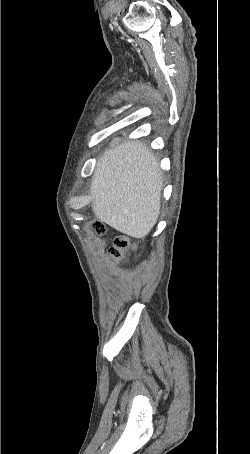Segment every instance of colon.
<instances>
[{"label": "colon", "instance_id": "obj_1", "mask_svg": "<svg viewBox=\"0 0 250 454\" xmlns=\"http://www.w3.org/2000/svg\"><path fill=\"white\" fill-rule=\"evenodd\" d=\"M95 230L99 234H103L105 231L104 226L101 223L95 224ZM134 248L131 241L125 236L116 237L113 245L109 249V255L113 258H120L124 256L127 252Z\"/></svg>", "mask_w": 250, "mask_h": 454}]
</instances>
